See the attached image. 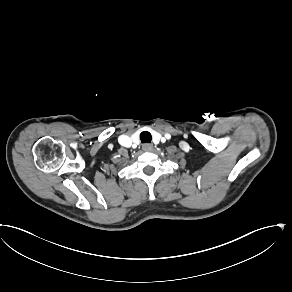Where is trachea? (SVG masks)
Wrapping results in <instances>:
<instances>
[{"mask_svg": "<svg viewBox=\"0 0 292 292\" xmlns=\"http://www.w3.org/2000/svg\"><path fill=\"white\" fill-rule=\"evenodd\" d=\"M140 140L142 143H150L152 140V136L148 131H143L140 134Z\"/></svg>", "mask_w": 292, "mask_h": 292, "instance_id": "obj_1", "label": "trachea"}]
</instances>
